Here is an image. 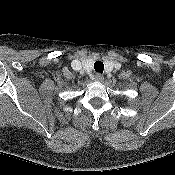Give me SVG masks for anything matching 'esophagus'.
<instances>
[{"label": "esophagus", "instance_id": "34e87169", "mask_svg": "<svg viewBox=\"0 0 175 175\" xmlns=\"http://www.w3.org/2000/svg\"><path fill=\"white\" fill-rule=\"evenodd\" d=\"M94 80L97 82H102L104 80V77L100 73H96L94 76Z\"/></svg>", "mask_w": 175, "mask_h": 175}]
</instances>
